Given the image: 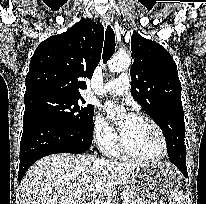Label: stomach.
<instances>
[{
  "mask_svg": "<svg viewBox=\"0 0 206 204\" xmlns=\"http://www.w3.org/2000/svg\"><path fill=\"white\" fill-rule=\"evenodd\" d=\"M137 204H165L174 191H179L181 175L169 163L141 165L128 178Z\"/></svg>",
  "mask_w": 206,
  "mask_h": 204,
  "instance_id": "1",
  "label": "stomach"
}]
</instances>
